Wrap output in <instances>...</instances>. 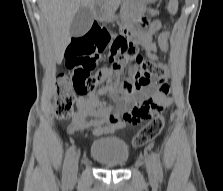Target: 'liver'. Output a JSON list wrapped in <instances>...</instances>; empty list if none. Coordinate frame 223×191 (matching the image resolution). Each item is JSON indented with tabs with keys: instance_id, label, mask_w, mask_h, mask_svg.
Masks as SVG:
<instances>
[{
	"instance_id": "6515ba94",
	"label": "liver",
	"mask_w": 223,
	"mask_h": 191,
	"mask_svg": "<svg viewBox=\"0 0 223 191\" xmlns=\"http://www.w3.org/2000/svg\"><path fill=\"white\" fill-rule=\"evenodd\" d=\"M99 0H38L53 40L55 58L61 63L64 51L71 41L70 26L81 6L93 8Z\"/></svg>"
}]
</instances>
